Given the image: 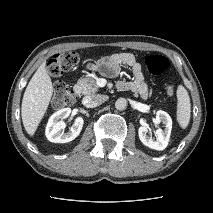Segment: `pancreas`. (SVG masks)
I'll return each instance as SVG.
<instances>
[{
	"mask_svg": "<svg viewBox=\"0 0 213 213\" xmlns=\"http://www.w3.org/2000/svg\"><path fill=\"white\" fill-rule=\"evenodd\" d=\"M76 86L81 89V93L84 95L93 94L98 91L95 80L89 77H81Z\"/></svg>",
	"mask_w": 213,
	"mask_h": 213,
	"instance_id": "pancreas-1",
	"label": "pancreas"
}]
</instances>
